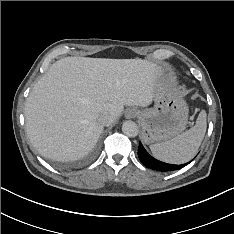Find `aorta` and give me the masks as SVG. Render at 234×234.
Listing matches in <instances>:
<instances>
[{"label":"aorta","mask_w":234,"mask_h":234,"mask_svg":"<svg viewBox=\"0 0 234 234\" xmlns=\"http://www.w3.org/2000/svg\"><path fill=\"white\" fill-rule=\"evenodd\" d=\"M122 131L128 137H136L138 135V126L133 121H125L122 125Z\"/></svg>","instance_id":"1"}]
</instances>
